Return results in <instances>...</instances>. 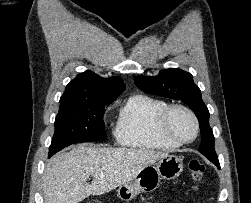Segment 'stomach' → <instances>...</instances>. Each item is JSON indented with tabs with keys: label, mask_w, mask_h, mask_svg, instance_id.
<instances>
[{
	"label": "stomach",
	"mask_w": 251,
	"mask_h": 203,
	"mask_svg": "<svg viewBox=\"0 0 251 203\" xmlns=\"http://www.w3.org/2000/svg\"><path fill=\"white\" fill-rule=\"evenodd\" d=\"M182 171V159L168 155L158 160L156 164L143 168L132 181L119 186L117 195L123 201H130L141 192L155 190L161 179H175Z\"/></svg>",
	"instance_id": "0dacf381"
}]
</instances>
